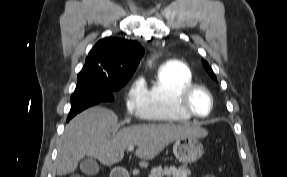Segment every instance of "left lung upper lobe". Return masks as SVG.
Masks as SVG:
<instances>
[{"label":"left lung upper lobe","mask_w":287,"mask_h":177,"mask_svg":"<svg viewBox=\"0 0 287 177\" xmlns=\"http://www.w3.org/2000/svg\"><path fill=\"white\" fill-rule=\"evenodd\" d=\"M203 65L206 68V70L208 71V73L211 75V77L216 80L215 74L213 72V70L211 69L210 66H208V63L206 61L203 60Z\"/></svg>","instance_id":"1"}]
</instances>
